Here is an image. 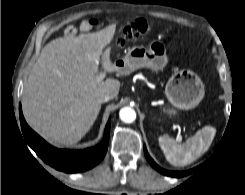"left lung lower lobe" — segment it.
Returning a JSON list of instances; mask_svg holds the SVG:
<instances>
[{"mask_svg":"<svg viewBox=\"0 0 245 195\" xmlns=\"http://www.w3.org/2000/svg\"><path fill=\"white\" fill-rule=\"evenodd\" d=\"M144 153L146 156V159L148 160V162L150 163V165H152V167L154 169H156L157 171H159L160 173L166 175V176H170V177H183L186 176L190 173L193 172L194 169L189 170V171H183V172H177V171H167L165 169H162L161 167H159L153 160L152 158L149 156L146 147L144 146Z\"/></svg>","mask_w":245,"mask_h":195,"instance_id":"1","label":"left lung lower lobe"}]
</instances>
